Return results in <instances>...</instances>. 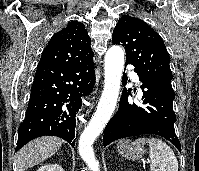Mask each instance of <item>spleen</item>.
I'll return each instance as SVG.
<instances>
[{
	"instance_id": "spleen-1",
	"label": "spleen",
	"mask_w": 199,
	"mask_h": 171,
	"mask_svg": "<svg viewBox=\"0 0 199 171\" xmlns=\"http://www.w3.org/2000/svg\"><path fill=\"white\" fill-rule=\"evenodd\" d=\"M137 144H149L151 171H178V161L173 150L159 138H139Z\"/></svg>"
}]
</instances>
